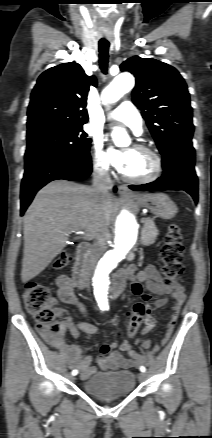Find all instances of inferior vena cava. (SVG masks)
Listing matches in <instances>:
<instances>
[{
    "label": "inferior vena cava",
    "instance_id": "inferior-vena-cava-1",
    "mask_svg": "<svg viewBox=\"0 0 212 438\" xmlns=\"http://www.w3.org/2000/svg\"><path fill=\"white\" fill-rule=\"evenodd\" d=\"M111 188H112V180L110 178L107 169L95 165L93 171V187H92L95 197L98 199H104L108 197L110 195L109 191L111 190ZM105 234L99 233L94 237V245L88 259L89 272H92V270L95 268L98 259L100 258V256L104 251Z\"/></svg>",
    "mask_w": 212,
    "mask_h": 438
}]
</instances>
